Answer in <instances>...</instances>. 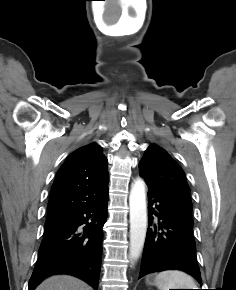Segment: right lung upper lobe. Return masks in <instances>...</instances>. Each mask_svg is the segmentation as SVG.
<instances>
[{
  "instance_id": "right-lung-upper-lobe-1",
  "label": "right lung upper lobe",
  "mask_w": 236,
  "mask_h": 290,
  "mask_svg": "<svg viewBox=\"0 0 236 290\" xmlns=\"http://www.w3.org/2000/svg\"><path fill=\"white\" fill-rule=\"evenodd\" d=\"M108 192L107 158L95 142L70 154L56 174L46 221L59 222Z\"/></svg>"
}]
</instances>
